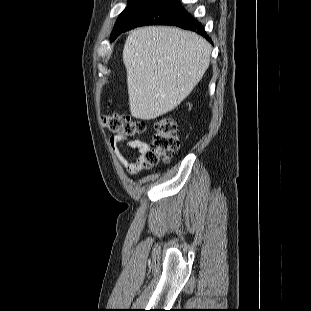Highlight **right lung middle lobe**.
Segmentation results:
<instances>
[{
	"instance_id": "1",
	"label": "right lung middle lobe",
	"mask_w": 311,
	"mask_h": 311,
	"mask_svg": "<svg viewBox=\"0 0 311 311\" xmlns=\"http://www.w3.org/2000/svg\"><path fill=\"white\" fill-rule=\"evenodd\" d=\"M158 0H130L125 10L120 14L111 35L113 41L130 22L143 10L156 3Z\"/></svg>"
}]
</instances>
